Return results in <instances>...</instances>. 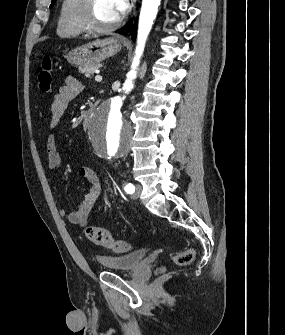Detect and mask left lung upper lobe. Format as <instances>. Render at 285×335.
<instances>
[{
    "label": "left lung upper lobe",
    "mask_w": 285,
    "mask_h": 335,
    "mask_svg": "<svg viewBox=\"0 0 285 335\" xmlns=\"http://www.w3.org/2000/svg\"><path fill=\"white\" fill-rule=\"evenodd\" d=\"M56 2V0H52V3L50 5V7H52L54 5V3Z\"/></svg>",
    "instance_id": "left-lung-upper-lobe-1"
}]
</instances>
